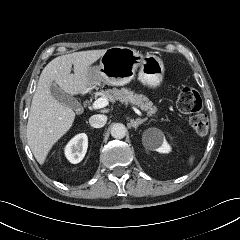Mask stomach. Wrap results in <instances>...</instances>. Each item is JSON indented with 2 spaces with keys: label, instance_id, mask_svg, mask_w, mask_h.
<instances>
[{
  "label": "stomach",
  "instance_id": "stomach-1",
  "mask_svg": "<svg viewBox=\"0 0 240 240\" xmlns=\"http://www.w3.org/2000/svg\"><path fill=\"white\" fill-rule=\"evenodd\" d=\"M138 73L139 81L150 88L160 86L165 67L163 60L147 54L143 56L129 47H111L101 56L100 64L90 68L93 88L101 82L112 86H123L129 83Z\"/></svg>",
  "mask_w": 240,
  "mask_h": 240
}]
</instances>
